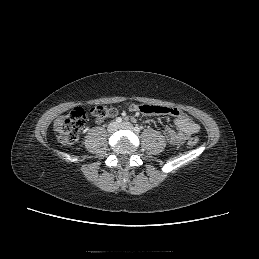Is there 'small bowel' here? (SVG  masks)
Here are the masks:
<instances>
[{
  "label": "small bowel",
  "mask_w": 259,
  "mask_h": 259,
  "mask_svg": "<svg viewBox=\"0 0 259 259\" xmlns=\"http://www.w3.org/2000/svg\"><path fill=\"white\" fill-rule=\"evenodd\" d=\"M129 109L138 114L153 115V114H167L173 117V122L176 126V130L169 127L163 131L164 137L171 144H181L186 138L199 131V125L193 121L187 114L180 111L177 108H170L159 105H142L134 102L129 104Z\"/></svg>",
  "instance_id": "1"
}]
</instances>
